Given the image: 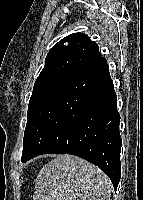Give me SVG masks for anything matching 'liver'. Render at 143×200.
Wrapping results in <instances>:
<instances>
[{
	"instance_id": "obj_1",
	"label": "liver",
	"mask_w": 143,
	"mask_h": 200,
	"mask_svg": "<svg viewBox=\"0 0 143 200\" xmlns=\"http://www.w3.org/2000/svg\"><path fill=\"white\" fill-rule=\"evenodd\" d=\"M111 182L98 167L69 154L39 171L33 200H110Z\"/></svg>"
}]
</instances>
